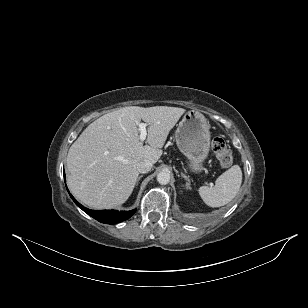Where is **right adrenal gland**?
<instances>
[{
    "label": "right adrenal gland",
    "instance_id": "obj_1",
    "mask_svg": "<svg viewBox=\"0 0 308 308\" xmlns=\"http://www.w3.org/2000/svg\"><path fill=\"white\" fill-rule=\"evenodd\" d=\"M141 178H142V175L138 177L137 182H136V186L138 185L139 180H140Z\"/></svg>",
    "mask_w": 308,
    "mask_h": 308
}]
</instances>
